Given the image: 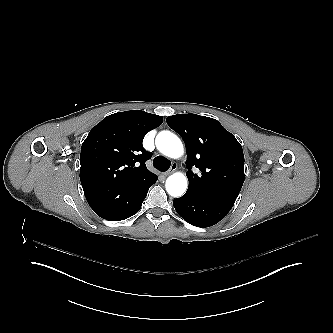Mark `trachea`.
<instances>
[{
	"mask_svg": "<svg viewBox=\"0 0 333 333\" xmlns=\"http://www.w3.org/2000/svg\"><path fill=\"white\" fill-rule=\"evenodd\" d=\"M170 165H171L170 160H168L167 158H164L163 156H157L153 160V166L162 172L167 171L169 169Z\"/></svg>",
	"mask_w": 333,
	"mask_h": 333,
	"instance_id": "obj_1",
	"label": "trachea"
}]
</instances>
